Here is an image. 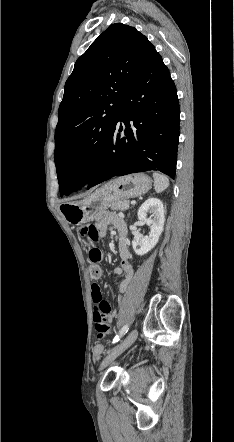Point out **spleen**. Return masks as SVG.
I'll use <instances>...</instances> for the list:
<instances>
[{"instance_id":"3e777b00","label":"spleen","mask_w":234,"mask_h":442,"mask_svg":"<svg viewBox=\"0 0 234 442\" xmlns=\"http://www.w3.org/2000/svg\"><path fill=\"white\" fill-rule=\"evenodd\" d=\"M153 178H154L155 191L157 193L163 192L169 186V179L165 175L158 172H154Z\"/></svg>"}]
</instances>
